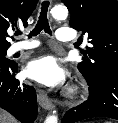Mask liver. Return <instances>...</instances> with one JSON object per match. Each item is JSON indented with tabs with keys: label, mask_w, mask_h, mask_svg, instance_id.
I'll return each mask as SVG.
<instances>
[{
	"label": "liver",
	"mask_w": 118,
	"mask_h": 123,
	"mask_svg": "<svg viewBox=\"0 0 118 123\" xmlns=\"http://www.w3.org/2000/svg\"><path fill=\"white\" fill-rule=\"evenodd\" d=\"M0 123H17V120L0 108Z\"/></svg>",
	"instance_id": "liver-1"
}]
</instances>
